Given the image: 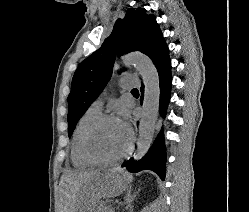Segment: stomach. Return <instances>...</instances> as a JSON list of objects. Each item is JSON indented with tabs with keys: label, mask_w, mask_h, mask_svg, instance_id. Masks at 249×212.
<instances>
[{
	"label": "stomach",
	"mask_w": 249,
	"mask_h": 212,
	"mask_svg": "<svg viewBox=\"0 0 249 212\" xmlns=\"http://www.w3.org/2000/svg\"><path fill=\"white\" fill-rule=\"evenodd\" d=\"M124 184H128L127 175H120V170H101V175H92L84 179L79 196V212H93L97 204H104V199L117 198V193H127Z\"/></svg>",
	"instance_id": "obj_1"
}]
</instances>
